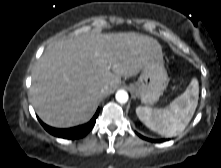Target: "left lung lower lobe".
<instances>
[{
    "mask_svg": "<svg viewBox=\"0 0 221 168\" xmlns=\"http://www.w3.org/2000/svg\"><path fill=\"white\" fill-rule=\"evenodd\" d=\"M139 136H140L142 139H146V140H149V141H152V142H160V141H163V140H152V139H148V138L143 137V136L140 135V134H139Z\"/></svg>",
    "mask_w": 221,
    "mask_h": 168,
    "instance_id": "1",
    "label": "left lung lower lobe"
}]
</instances>
